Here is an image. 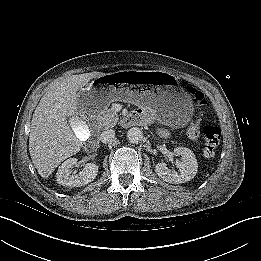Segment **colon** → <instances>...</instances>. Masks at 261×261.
Segmentation results:
<instances>
[{
	"mask_svg": "<svg viewBox=\"0 0 261 261\" xmlns=\"http://www.w3.org/2000/svg\"><path fill=\"white\" fill-rule=\"evenodd\" d=\"M188 95L191 96L194 104L196 105L197 109L200 111L201 108L206 103L204 95L200 92L195 90L194 88H187ZM200 134L203 136V153L205 157H213L216 149L218 147L221 131L217 126L214 125H206L202 130L199 127L197 121L193 122L188 130L187 136L190 140L196 141L198 140Z\"/></svg>",
	"mask_w": 261,
	"mask_h": 261,
	"instance_id": "1",
	"label": "colon"
}]
</instances>
